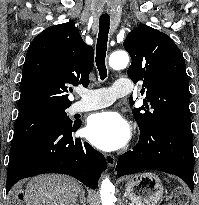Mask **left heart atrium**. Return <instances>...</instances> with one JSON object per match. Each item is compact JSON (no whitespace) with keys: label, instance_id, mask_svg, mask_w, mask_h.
<instances>
[{"label":"left heart atrium","instance_id":"39dd6f15","mask_svg":"<svg viewBox=\"0 0 199 205\" xmlns=\"http://www.w3.org/2000/svg\"><path fill=\"white\" fill-rule=\"evenodd\" d=\"M130 135L129 123L114 111L92 115L85 128L86 138L96 147L106 151L121 148L127 143Z\"/></svg>","mask_w":199,"mask_h":205}]
</instances>
